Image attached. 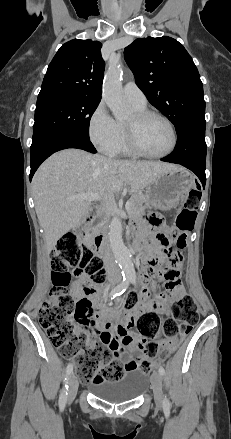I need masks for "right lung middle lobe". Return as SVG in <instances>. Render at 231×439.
Wrapping results in <instances>:
<instances>
[{
  "mask_svg": "<svg viewBox=\"0 0 231 439\" xmlns=\"http://www.w3.org/2000/svg\"><path fill=\"white\" fill-rule=\"evenodd\" d=\"M100 100L81 96H55L37 100L32 145L58 131L89 138V123Z\"/></svg>",
  "mask_w": 231,
  "mask_h": 439,
  "instance_id": "obj_1",
  "label": "right lung middle lobe"
}]
</instances>
